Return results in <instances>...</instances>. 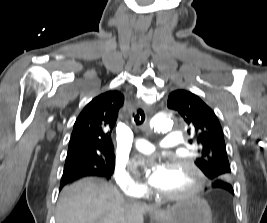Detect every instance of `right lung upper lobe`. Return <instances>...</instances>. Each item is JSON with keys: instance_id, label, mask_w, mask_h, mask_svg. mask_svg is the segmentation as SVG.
Listing matches in <instances>:
<instances>
[{"instance_id": "cb5924a9", "label": "right lung upper lobe", "mask_w": 267, "mask_h": 223, "mask_svg": "<svg viewBox=\"0 0 267 223\" xmlns=\"http://www.w3.org/2000/svg\"><path fill=\"white\" fill-rule=\"evenodd\" d=\"M123 102L119 91H108L87 104L74 124L66 159L114 154L111 132Z\"/></svg>"}]
</instances>
